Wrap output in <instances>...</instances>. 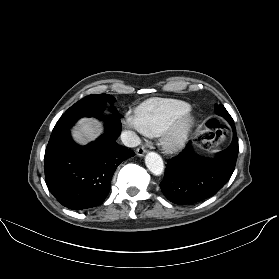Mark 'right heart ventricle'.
I'll use <instances>...</instances> for the list:
<instances>
[{
    "label": "right heart ventricle",
    "instance_id": "obj_1",
    "mask_svg": "<svg viewBox=\"0 0 279 279\" xmlns=\"http://www.w3.org/2000/svg\"><path fill=\"white\" fill-rule=\"evenodd\" d=\"M190 110L186 102L173 99H156L141 104L137 108L143 132L151 137H157L178 116Z\"/></svg>",
    "mask_w": 279,
    "mask_h": 279
}]
</instances>
